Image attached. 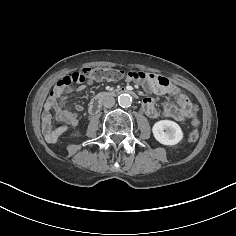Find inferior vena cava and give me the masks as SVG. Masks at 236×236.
<instances>
[{"mask_svg":"<svg viewBox=\"0 0 236 236\" xmlns=\"http://www.w3.org/2000/svg\"><path fill=\"white\" fill-rule=\"evenodd\" d=\"M102 103L104 107L111 108L115 104V99L112 96H106L104 97Z\"/></svg>","mask_w":236,"mask_h":236,"instance_id":"1","label":"inferior vena cava"}]
</instances>
